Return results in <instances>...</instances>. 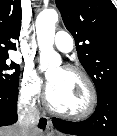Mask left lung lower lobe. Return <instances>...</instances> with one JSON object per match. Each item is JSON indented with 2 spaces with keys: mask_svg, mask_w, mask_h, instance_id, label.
<instances>
[{
  "mask_svg": "<svg viewBox=\"0 0 117 136\" xmlns=\"http://www.w3.org/2000/svg\"><path fill=\"white\" fill-rule=\"evenodd\" d=\"M97 97V108L87 120L68 122L54 118V126L71 135L117 136V83L111 84Z\"/></svg>",
  "mask_w": 117,
  "mask_h": 136,
  "instance_id": "1",
  "label": "left lung lower lobe"
}]
</instances>
